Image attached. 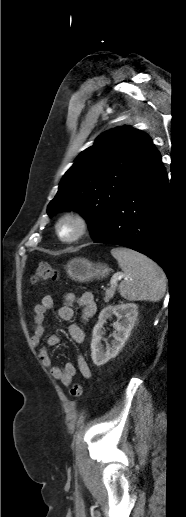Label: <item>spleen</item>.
<instances>
[{
    "label": "spleen",
    "mask_w": 186,
    "mask_h": 517,
    "mask_svg": "<svg viewBox=\"0 0 186 517\" xmlns=\"http://www.w3.org/2000/svg\"><path fill=\"white\" fill-rule=\"evenodd\" d=\"M111 254L126 274V279L119 285L123 298L129 301L157 302L164 296L165 273L151 259L127 248H114Z\"/></svg>",
    "instance_id": "1"
}]
</instances>
